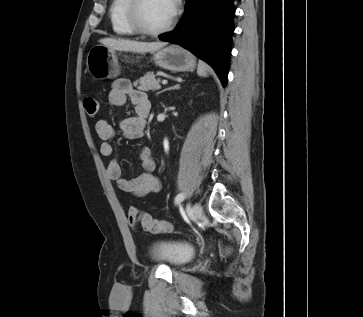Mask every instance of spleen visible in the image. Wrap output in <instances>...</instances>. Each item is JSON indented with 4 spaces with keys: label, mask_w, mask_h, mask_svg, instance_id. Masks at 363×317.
Wrapping results in <instances>:
<instances>
[{
    "label": "spleen",
    "mask_w": 363,
    "mask_h": 317,
    "mask_svg": "<svg viewBox=\"0 0 363 317\" xmlns=\"http://www.w3.org/2000/svg\"><path fill=\"white\" fill-rule=\"evenodd\" d=\"M208 71H209V66L203 61H199L197 74L201 77H206L208 75Z\"/></svg>",
    "instance_id": "1"
}]
</instances>
